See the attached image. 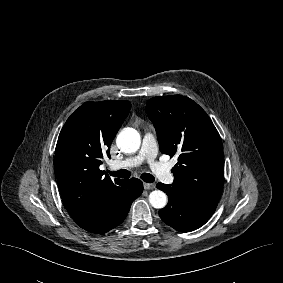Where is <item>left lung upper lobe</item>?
<instances>
[{"mask_svg": "<svg viewBox=\"0 0 283 283\" xmlns=\"http://www.w3.org/2000/svg\"><path fill=\"white\" fill-rule=\"evenodd\" d=\"M145 110L156 129L161 153L179 156L171 186L216 206L223 187L224 161L221 139L209 116L181 95L151 98Z\"/></svg>", "mask_w": 283, "mask_h": 283, "instance_id": "obj_1", "label": "left lung upper lobe"}]
</instances>
